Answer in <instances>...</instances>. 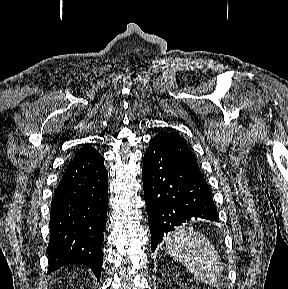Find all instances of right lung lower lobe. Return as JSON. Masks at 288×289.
<instances>
[{
	"instance_id": "obj_1",
	"label": "right lung lower lobe",
	"mask_w": 288,
	"mask_h": 289,
	"mask_svg": "<svg viewBox=\"0 0 288 289\" xmlns=\"http://www.w3.org/2000/svg\"><path fill=\"white\" fill-rule=\"evenodd\" d=\"M108 209V172L98 152L74 158L51 202L49 272L83 264L99 279Z\"/></svg>"
}]
</instances>
